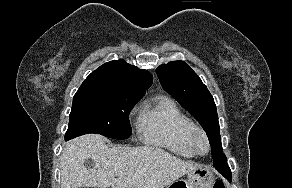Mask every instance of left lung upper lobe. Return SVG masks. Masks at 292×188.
<instances>
[{
	"mask_svg": "<svg viewBox=\"0 0 292 188\" xmlns=\"http://www.w3.org/2000/svg\"><path fill=\"white\" fill-rule=\"evenodd\" d=\"M156 73L162 87L192 114L206 131L212 147L214 167L221 166L227 159L222 151L216 105L207 87L184 61L162 64L156 69ZM223 170L227 172L229 167H223Z\"/></svg>",
	"mask_w": 292,
	"mask_h": 188,
	"instance_id": "obj_1",
	"label": "left lung upper lobe"
}]
</instances>
